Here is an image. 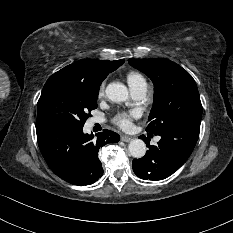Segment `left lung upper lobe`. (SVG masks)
Returning <instances> with one entry per match:
<instances>
[{"label":"left lung upper lobe","mask_w":233,"mask_h":233,"mask_svg":"<svg viewBox=\"0 0 233 233\" xmlns=\"http://www.w3.org/2000/svg\"><path fill=\"white\" fill-rule=\"evenodd\" d=\"M154 84V102L146 131L162 134L177 124L202 117V105L192 76L178 64L164 58L129 59Z\"/></svg>","instance_id":"5c2ea615"}]
</instances>
